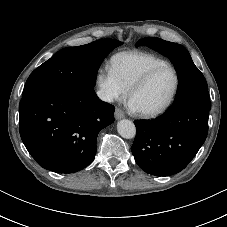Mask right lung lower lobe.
Wrapping results in <instances>:
<instances>
[{
	"instance_id": "right-lung-lower-lobe-1",
	"label": "right lung lower lobe",
	"mask_w": 227,
	"mask_h": 227,
	"mask_svg": "<svg viewBox=\"0 0 227 227\" xmlns=\"http://www.w3.org/2000/svg\"><path fill=\"white\" fill-rule=\"evenodd\" d=\"M21 139L35 161L57 173H74L95 158L101 129L114 121L115 108L93 89L54 87L23 96Z\"/></svg>"
}]
</instances>
